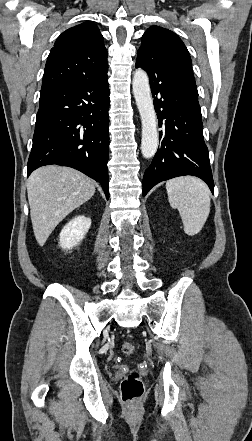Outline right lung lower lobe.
<instances>
[{
	"label": "right lung lower lobe",
	"instance_id": "1",
	"mask_svg": "<svg viewBox=\"0 0 252 441\" xmlns=\"http://www.w3.org/2000/svg\"><path fill=\"white\" fill-rule=\"evenodd\" d=\"M108 110L107 78L41 93L28 176L44 165L72 167L99 182L108 199Z\"/></svg>",
	"mask_w": 252,
	"mask_h": 441
}]
</instances>
